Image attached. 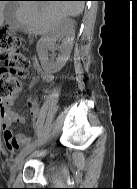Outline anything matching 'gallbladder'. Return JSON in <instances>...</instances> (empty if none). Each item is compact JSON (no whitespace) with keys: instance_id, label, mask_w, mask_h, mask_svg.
Wrapping results in <instances>:
<instances>
[{"instance_id":"gallbladder-1","label":"gallbladder","mask_w":137,"mask_h":189,"mask_svg":"<svg viewBox=\"0 0 137 189\" xmlns=\"http://www.w3.org/2000/svg\"><path fill=\"white\" fill-rule=\"evenodd\" d=\"M18 5L17 2H7L4 8V16L6 23L8 24L9 33L14 34L19 28L18 22L15 18V12Z\"/></svg>"}]
</instances>
